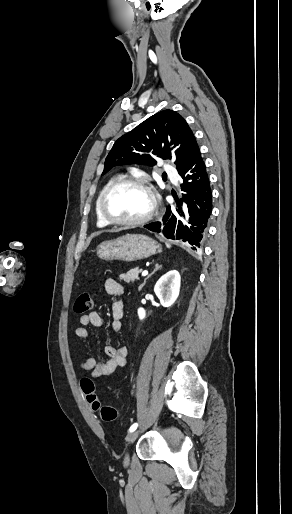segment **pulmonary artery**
I'll return each mask as SVG.
<instances>
[{
  "label": "pulmonary artery",
  "mask_w": 292,
  "mask_h": 514,
  "mask_svg": "<svg viewBox=\"0 0 292 514\" xmlns=\"http://www.w3.org/2000/svg\"><path fill=\"white\" fill-rule=\"evenodd\" d=\"M160 169H161L162 171H167V170L169 169V164H168L167 162H162V163L160 164ZM174 175L176 176V174H175V173H174Z\"/></svg>",
  "instance_id": "1"
}]
</instances>
